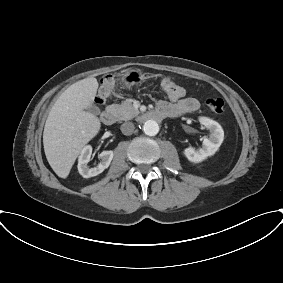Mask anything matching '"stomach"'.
I'll return each instance as SVG.
<instances>
[{
    "mask_svg": "<svg viewBox=\"0 0 283 283\" xmlns=\"http://www.w3.org/2000/svg\"><path fill=\"white\" fill-rule=\"evenodd\" d=\"M145 79V75L137 70H132L126 73L123 77L122 82L126 86H133L141 83Z\"/></svg>",
    "mask_w": 283,
    "mask_h": 283,
    "instance_id": "1",
    "label": "stomach"
}]
</instances>
